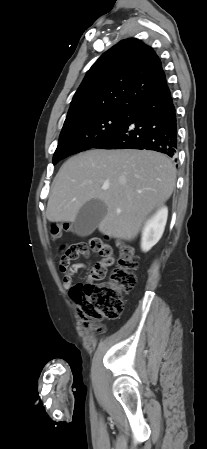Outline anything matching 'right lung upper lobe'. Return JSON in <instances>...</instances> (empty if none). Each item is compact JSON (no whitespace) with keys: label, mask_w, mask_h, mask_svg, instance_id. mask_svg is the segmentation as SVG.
<instances>
[{"label":"right lung upper lobe","mask_w":207,"mask_h":449,"mask_svg":"<svg viewBox=\"0 0 207 449\" xmlns=\"http://www.w3.org/2000/svg\"><path fill=\"white\" fill-rule=\"evenodd\" d=\"M161 61L135 38L120 41L88 70L66 119L105 109H134L169 92Z\"/></svg>","instance_id":"1"}]
</instances>
